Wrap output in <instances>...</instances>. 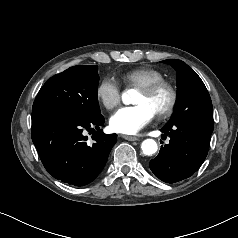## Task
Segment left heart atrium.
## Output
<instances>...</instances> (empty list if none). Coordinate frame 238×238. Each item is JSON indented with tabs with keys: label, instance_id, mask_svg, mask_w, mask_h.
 I'll list each match as a JSON object with an SVG mask.
<instances>
[{
	"label": "left heart atrium",
	"instance_id": "obj_1",
	"mask_svg": "<svg viewBox=\"0 0 238 238\" xmlns=\"http://www.w3.org/2000/svg\"><path fill=\"white\" fill-rule=\"evenodd\" d=\"M156 112L146 103L125 106L118 109L110 118L111 128L123 134H135L155 117Z\"/></svg>",
	"mask_w": 238,
	"mask_h": 238
}]
</instances>
